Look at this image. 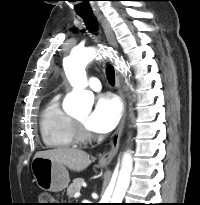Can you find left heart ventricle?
<instances>
[{
    "label": "left heart ventricle",
    "mask_w": 200,
    "mask_h": 205,
    "mask_svg": "<svg viewBox=\"0 0 200 205\" xmlns=\"http://www.w3.org/2000/svg\"><path fill=\"white\" fill-rule=\"evenodd\" d=\"M75 119L79 120L80 122H82L85 125V122H86V119H87V113L77 115L75 117Z\"/></svg>",
    "instance_id": "1"
}]
</instances>
